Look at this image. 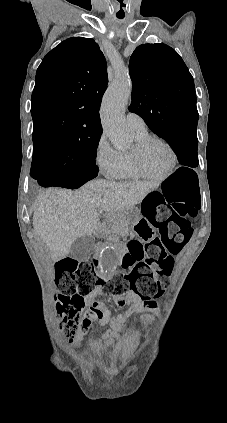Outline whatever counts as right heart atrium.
<instances>
[{
	"instance_id": "d8ad5b80",
	"label": "right heart atrium",
	"mask_w": 227,
	"mask_h": 423,
	"mask_svg": "<svg viewBox=\"0 0 227 423\" xmlns=\"http://www.w3.org/2000/svg\"><path fill=\"white\" fill-rule=\"evenodd\" d=\"M94 158L99 171L110 179H118L122 174V160L119 152L110 144L102 132L95 145Z\"/></svg>"
}]
</instances>
